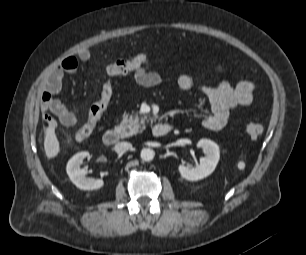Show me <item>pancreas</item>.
Listing matches in <instances>:
<instances>
[{"mask_svg": "<svg viewBox=\"0 0 306 255\" xmlns=\"http://www.w3.org/2000/svg\"><path fill=\"white\" fill-rule=\"evenodd\" d=\"M147 122L145 116L139 117L137 115H124L117 128L120 130L121 138H126L145 129Z\"/></svg>", "mask_w": 306, "mask_h": 255, "instance_id": "pancreas-1", "label": "pancreas"}]
</instances>
